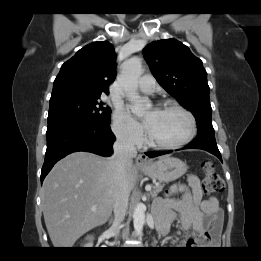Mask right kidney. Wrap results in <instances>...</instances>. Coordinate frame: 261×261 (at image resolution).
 <instances>
[{"label": "right kidney", "instance_id": "ca27d5eb", "mask_svg": "<svg viewBox=\"0 0 261 261\" xmlns=\"http://www.w3.org/2000/svg\"><path fill=\"white\" fill-rule=\"evenodd\" d=\"M92 246H93L92 243H89V244L86 245V247H92Z\"/></svg>", "mask_w": 261, "mask_h": 261}]
</instances>
